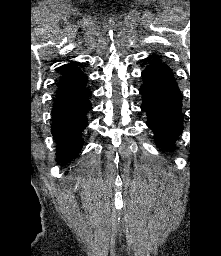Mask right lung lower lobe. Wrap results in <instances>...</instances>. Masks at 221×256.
<instances>
[{
  "mask_svg": "<svg viewBox=\"0 0 221 256\" xmlns=\"http://www.w3.org/2000/svg\"><path fill=\"white\" fill-rule=\"evenodd\" d=\"M91 91H85L54 102L51 132L57 143L56 160L67 163L80 153L82 132L87 126L86 114L91 110Z\"/></svg>",
  "mask_w": 221,
  "mask_h": 256,
  "instance_id": "1",
  "label": "right lung lower lobe"
}]
</instances>
